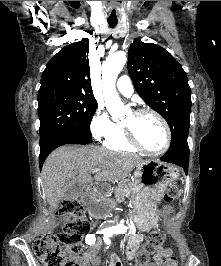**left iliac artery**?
<instances>
[{"mask_svg": "<svg viewBox=\"0 0 221 266\" xmlns=\"http://www.w3.org/2000/svg\"><path fill=\"white\" fill-rule=\"evenodd\" d=\"M113 234H116V233L112 232V231H107V232L104 233L103 239H104V242L106 244H110L111 243L108 237H111Z\"/></svg>", "mask_w": 221, "mask_h": 266, "instance_id": "obj_1", "label": "left iliac artery"}]
</instances>
